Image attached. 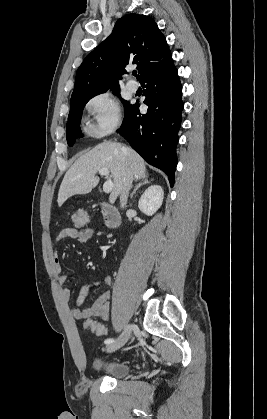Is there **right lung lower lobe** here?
<instances>
[{"instance_id":"obj_1","label":"right lung lower lobe","mask_w":267,"mask_h":419,"mask_svg":"<svg viewBox=\"0 0 267 419\" xmlns=\"http://www.w3.org/2000/svg\"><path fill=\"white\" fill-rule=\"evenodd\" d=\"M140 82L147 88L144 103L148 111L141 114L138 102L130 105L118 132L149 164L164 171L173 186L183 110L177 69L171 61L148 73Z\"/></svg>"}]
</instances>
